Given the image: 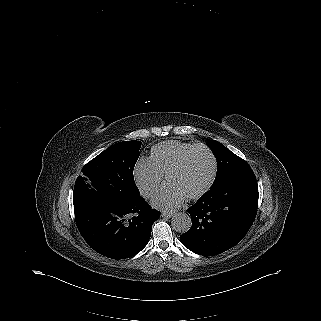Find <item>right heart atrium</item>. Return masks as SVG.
Returning <instances> with one entry per match:
<instances>
[{
  "instance_id": "right-heart-atrium-1",
  "label": "right heart atrium",
  "mask_w": 321,
  "mask_h": 321,
  "mask_svg": "<svg viewBox=\"0 0 321 321\" xmlns=\"http://www.w3.org/2000/svg\"><path fill=\"white\" fill-rule=\"evenodd\" d=\"M133 180L139 191L146 197L157 190L161 176L155 171L149 159L140 158L133 169Z\"/></svg>"
}]
</instances>
